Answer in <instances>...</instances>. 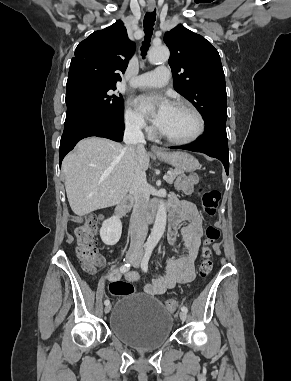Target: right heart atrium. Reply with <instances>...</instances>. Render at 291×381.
Here are the masks:
<instances>
[{
    "label": "right heart atrium",
    "instance_id": "d8ad5b80",
    "mask_svg": "<svg viewBox=\"0 0 291 381\" xmlns=\"http://www.w3.org/2000/svg\"><path fill=\"white\" fill-rule=\"evenodd\" d=\"M124 123L125 126L133 132H145L148 134L152 132V129L147 125L141 114L130 105L125 109Z\"/></svg>",
    "mask_w": 291,
    "mask_h": 381
}]
</instances>
